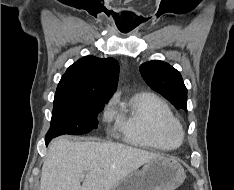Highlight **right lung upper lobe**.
Here are the masks:
<instances>
[{"mask_svg":"<svg viewBox=\"0 0 234 190\" xmlns=\"http://www.w3.org/2000/svg\"><path fill=\"white\" fill-rule=\"evenodd\" d=\"M119 64L114 58L86 56L62 76L57 94L108 101L117 87Z\"/></svg>","mask_w":234,"mask_h":190,"instance_id":"1","label":"right lung upper lobe"}]
</instances>
